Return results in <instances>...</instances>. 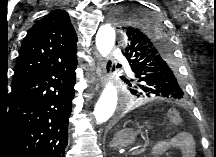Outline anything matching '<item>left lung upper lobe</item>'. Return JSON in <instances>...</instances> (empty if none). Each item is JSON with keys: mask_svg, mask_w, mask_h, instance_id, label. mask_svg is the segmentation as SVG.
I'll return each mask as SVG.
<instances>
[{"mask_svg": "<svg viewBox=\"0 0 216 157\" xmlns=\"http://www.w3.org/2000/svg\"><path fill=\"white\" fill-rule=\"evenodd\" d=\"M112 20L119 29L126 57L138 81L137 90L148 97L178 101L186 97L170 49V31L154 10L129 3L115 9Z\"/></svg>", "mask_w": 216, "mask_h": 157, "instance_id": "5c2ea615", "label": "left lung upper lobe"}]
</instances>
